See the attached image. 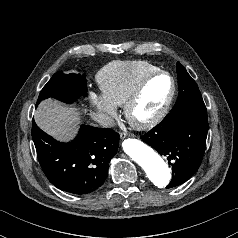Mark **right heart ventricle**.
I'll return each mask as SVG.
<instances>
[{
	"label": "right heart ventricle",
	"instance_id": "1",
	"mask_svg": "<svg viewBox=\"0 0 238 238\" xmlns=\"http://www.w3.org/2000/svg\"><path fill=\"white\" fill-rule=\"evenodd\" d=\"M158 71L146 61H113L96 75L102 94L115 106H123L140 81Z\"/></svg>",
	"mask_w": 238,
	"mask_h": 238
}]
</instances>
